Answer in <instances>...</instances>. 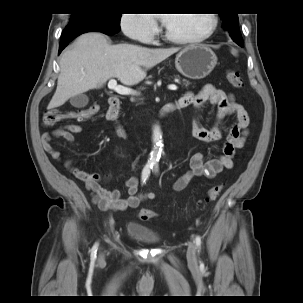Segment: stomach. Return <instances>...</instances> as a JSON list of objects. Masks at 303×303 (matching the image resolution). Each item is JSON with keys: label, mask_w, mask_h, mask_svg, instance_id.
Returning <instances> with one entry per match:
<instances>
[{"label": "stomach", "mask_w": 303, "mask_h": 303, "mask_svg": "<svg viewBox=\"0 0 303 303\" xmlns=\"http://www.w3.org/2000/svg\"><path fill=\"white\" fill-rule=\"evenodd\" d=\"M217 64V56L205 45H193L182 49L175 58L176 69L189 79L208 76Z\"/></svg>", "instance_id": "obj_1"}]
</instances>
